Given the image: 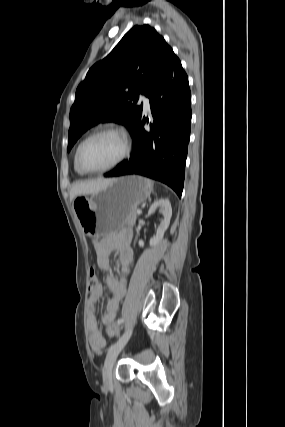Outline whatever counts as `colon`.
Instances as JSON below:
<instances>
[{"mask_svg": "<svg viewBox=\"0 0 285 427\" xmlns=\"http://www.w3.org/2000/svg\"><path fill=\"white\" fill-rule=\"evenodd\" d=\"M98 277H97V273L95 271L94 268H90L89 270V287L90 289L94 288L95 286H97L98 284ZM108 332L110 335L112 336H116L119 333V329L116 326H111L108 329Z\"/></svg>", "mask_w": 285, "mask_h": 427, "instance_id": "1", "label": "colon"}]
</instances>
